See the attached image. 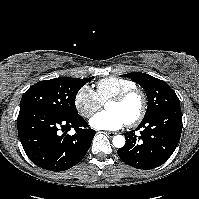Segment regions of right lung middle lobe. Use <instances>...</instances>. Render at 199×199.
<instances>
[{"instance_id": "obj_1", "label": "right lung middle lobe", "mask_w": 199, "mask_h": 199, "mask_svg": "<svg viewBox=\"0 0 199 199\" xmlns=\"http://www.w3.org/2000/svg\"><path fill=\"white\" fill-rule=\"evenodd\" d=\"M93 78L63 77L40 81L23 94L20 111L40 109L66 118L77 116L76 94L83 85Z\"/></svg>"}]
</instances>
